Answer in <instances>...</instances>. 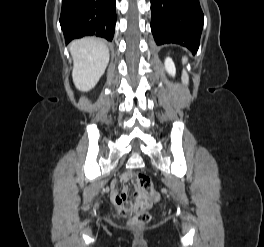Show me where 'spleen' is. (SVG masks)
<instances>
[{
    "instance_id": "1",
    "label": "spleen",
    "mask_w": 264,
    "mask_h": 247,
    "mask_svg": "<svg viewBox=\"0 0 264 247\" xmlns=\"http://www.w3.org/2000/svg\"><path fill=\"white\" fill-rule=\"evenodd\" d=\"M185 61H186V58H183V63H184ZM182 81H183V83L188 84L189 77H188V74L186 73V71H183V74H182Z\"/></svg>"
}]
</instances>
